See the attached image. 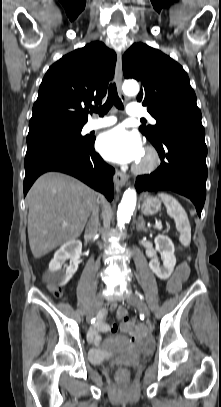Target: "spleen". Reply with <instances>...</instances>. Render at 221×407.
I'll list each match as a JSON object with an SVG mask.
<instances>
[{
  "label": "spleen",
  "mask_w": 221,
  "mask_h": 407,
  "mask_svg": "<svg viewBox=\"0 0 221 407\" xmlns=\"http://www.w3.org/2000/svg\"><path fill=\"white\" fill-rule=\"evenodd\" d=\"M158 196L166 206L167 214L175 221L176 229L180 234V242L184 246H188L191 242V227L184 208L178 200L170 194L159 193Z\"/></svg>",
  "instance_id": "1"
}]
</instances>
